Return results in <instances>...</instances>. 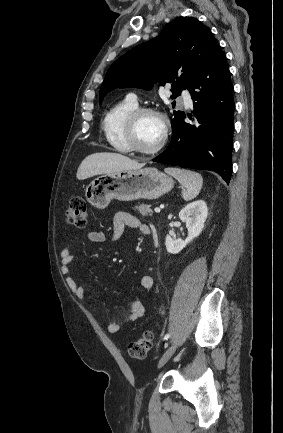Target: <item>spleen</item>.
<instances>
[{"instance_id": "spleen-1", "label": "spleen", "mask_w": 283, "mask_h": 433, "mask_svg": "<svg viewBox=\"0 0 283 433\" xmlns=\"http://www.w3.org/2000/svg\"><path fill=\"white\" fill-rule=\"evenodd\" d=\"M167 174H172L174 178L179 180L180 184L185 186L182 190V196L184 200H192L197 194H199L203 178L199 172H194V170H185V168H164Z\"/></svg>"}]
</instances>
